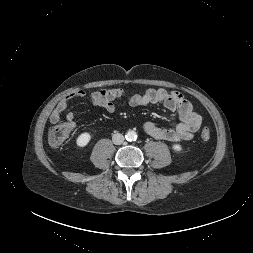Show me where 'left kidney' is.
Masks as SVG:
<instances>
[{"instance_id": "obj_1", "label": "left kidney", "mask_w": 253, "mask_h": 253, "mask_svg": "<svg viewBox=\"0 0 253 253\" xmlns=\"http://www.w3.org/2000/svg\"><path fill=\"white\" fill-rule=\"evenodd\" d=\"M173 150L176 152H181L182 151V146L180 144H173L172 145Z\"/></svg>"}]
</instances>
